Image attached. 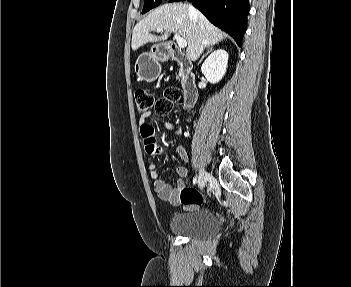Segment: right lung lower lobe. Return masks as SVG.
Returning <instances> with one entry per match:
<instances>
[{"mask_svg": "<svg viewBox=\"0 0 351 287\" xmlns=\"http://www.w3.org/2000/svg\"><path fill=\"white\" fill-rule=\"evenodd\" d=\"M184 0H169V2ZM215 26L229 33L241 46L250 10L248 0H187Z\"/></svg>", "mask_w": 351, "mask_h": 287, "instance_id": "1", "label": "right lung lower lobe"}]
</instances>
